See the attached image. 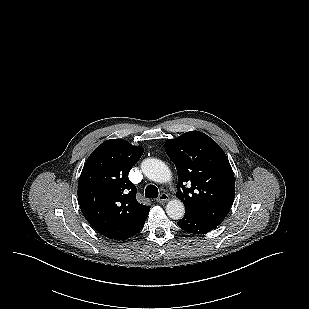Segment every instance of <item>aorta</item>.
<instances>
[{
	"instance_id": "obj_1",
	"label": "aorta",
	"mask_w": 309,
	"mask_h": 309,
	"mask_svg": "<svg viewBox=\"0 0 309 309\" xmlns=\"http://www.w3.org/2000/svg\"><path fill=\"white\" fill-rule=\"evenodd\" d=\"M144 175L157 183H166L171 180V171L168 166L159 159L147 158L141 164ZM167 215L174 220H179L185 215V207L181 200L173 199L166 206Z\"/></svg>"
}]
</instances>
